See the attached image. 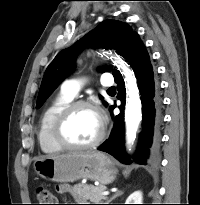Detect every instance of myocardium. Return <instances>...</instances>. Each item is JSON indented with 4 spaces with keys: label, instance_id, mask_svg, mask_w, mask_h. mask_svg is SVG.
<instances>
[{
    "label": "myocardium",
    "instance_id": "1",
    "mask_svg": "<svg viewBox=\"0 0 200 205\" xmlns=\"http://www.w3.org/2000/svg\"><path fill=\"white\" fill-rule=\"evenodd\" d=\"M81 108H88L93 111H95L99 118H100V131L97 135V137L92 140L89 143L86 144H74L69 142L65 135H64V128L69 120V118L72 116V114ZM106 135V122L105 119L103 118L102 114L100 113L99 109L97 106H95L93 103L89 101H84V100H77V101H72L70 102L57 116L54 126H53V138L55 142L62 148V149H67V150H86V149H91L96 146H98L105 138Z\"/></svg>",
    "mask_w": 200,
    "mask_h": 205
}]
</instances>
